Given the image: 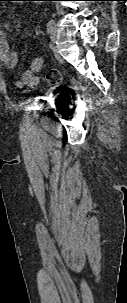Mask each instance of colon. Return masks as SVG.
<instances>
[{"mask_svg": "<svg viewBox=\"0 0 127 303\" xmlns=\"http://www.w3.org/2000/svg\"><path fill=\"white\" fill-rule=\"evenodd\" d=\"M43 61L42 58L37 57L32 63V67L35 71H38L42 67ZM47 80L50 84L56 85L61 81L60 73L56 70H52L47 74Z\"/></svg>", "mask_w": 127, "mask_h": 303, "instance_id": "obj_1", "label": "colon"}]
</instances>
